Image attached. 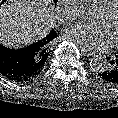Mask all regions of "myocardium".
<instances>
[{
    "label": "myocardium",
    "mask_w": 118,
    "mask_h": 118,
    "mask_svg": "<svg viewBox=\"0 0 118 118\" xmlns=\"http://www.w3.org/2000/svg\"><path fill=\"white\" fill-rule=\"evenodd\" d=\"M118 10V0L101 9L100 13L106 17H110ZM113 47L118 49V43L113 44Z\"/></svg>",
    "instance_id": "obj_1"
}]
</instances>
